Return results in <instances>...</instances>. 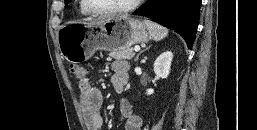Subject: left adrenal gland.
<instances>
[{"mask_svg": "<svg viewBox=\"0 0 257 130\" xmlns=\"http://www.w3.org/2000/svg\"><path fill=\"white\" fill-rule=\"evenodd\" d=\"M142 52H144V50H143V51H141V52L137 55V57L135 58V61H137V60H138V57H139V55H140Z\"/></svg>", "mask_w": 257, "mask_h": 130, "instance_id": "a2214340", "label": "left adrenal gland"}]
</instances>
